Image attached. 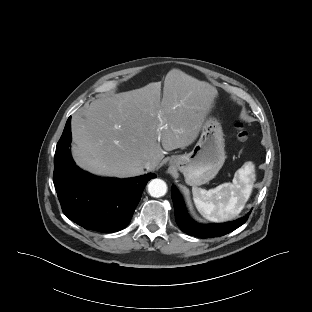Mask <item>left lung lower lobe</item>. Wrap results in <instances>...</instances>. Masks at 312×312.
Masks as SVG:
<instances>
[{"label": "left lung lower lobe", "mask_w": 312, "mask_h": 312, "mask_svg": "<svg viewBox=\"0 0 312 312\" xmlns=\"http://www.w3.org/2000/svg\"><path fill=\"white\" fill-rule=\"evenodd\" d=\"M172 193V200L174 203V213L176 223L178 224L179 228L186 232L189 235H193L199 238H209V237H218L222 235H226L241 225H243L248 217V213L246 216L227 223H220V224H200L193 221L185 208L182 196L178 192L175 186L171 189Z\"/></svg>", "instance_id": "0a47b994"}]
</instances>
